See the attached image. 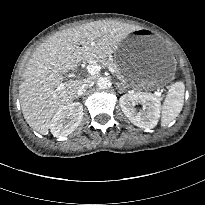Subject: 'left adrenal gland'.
I'll return each instance as SVG.
<instances>
[{
    "mask_svg": "<svg viewBox=\"0 0 205 205\" xmlns=\"http://www.w3.org/2000/svg\"><path fill=\"white\" fill-rule=\"evenodd\" d=\"M116 85L119 88V90H121V91L125 90V88L123 86H121V84L119 82H117Z\"/></svg>",
    "mask_w": 205,
    "mask_h": 205,
    "instance_id": "1",
    "label": "left adrenal gland"
}]
</instances>
